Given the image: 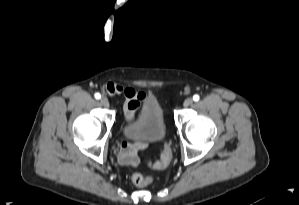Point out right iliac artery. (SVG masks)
<instances>
[{
  "label": "right iliac artery",
  "mask_w": 299,
  "mask_h": 205,
  "mask_svg": "<svg viewBox=\"0 0 299 205\" xmlns=\"http://www.w3.org/2000/svg\"><path fill=\"white\" fill-rule=\"evenodd\" d=\"M94 96H95L96 99H100L101 98V95L99 93H95Z\"/></svg>",
  "instance_id": "82829eb1"
}]
</instances>
